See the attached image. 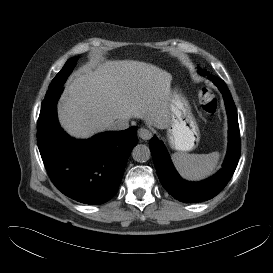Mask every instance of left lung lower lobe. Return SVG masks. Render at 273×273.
Here are the masks:
<instances>
[{
  "label": "left lung lower lobe",
  "instance_id": "left-lung-lower-lobe-1",
  "mask_svg": "<svg viewBox=\"0 0 273 273\" xmlns=\"http://www.w3.org/2000/svg\"><path fill=\"white\" fill-rule=\"evenodd\" d=\"M201 75L207 76L223 94L228 115V150L222 169L214 176L201 182H189L182 179L175 170L170 156L156 136L149 145L159 180L165 190L175 199L185 203H197L209 200L219 194L231 179L240 157V134L237 110L232 96L222 79L198 68Z\"/></svg>",
  "mask_w": 273,
  "mask_h": 273
}]
</instances>
